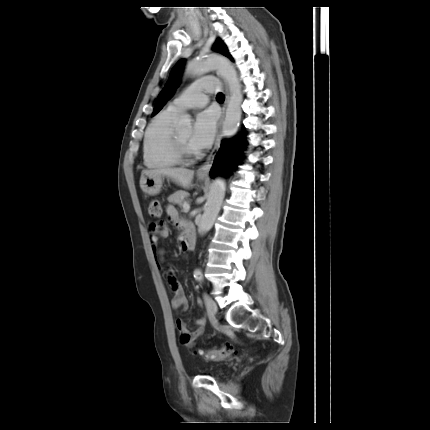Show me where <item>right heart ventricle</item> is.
Listing matches in <instances>:
<instances>
[{
    "instance_id": "e07e8e85",
    "label": "right heart ventricle",
    "mask_w": 430,
    "mask_h": 430,
    "mask_svg": "<svg viewBox=\"0 0 430 430\" xmlns=\"http://www.w3.org/2000/svg\"><path fill=\"white\" fill-rule=\"evenodd\" d=\"M178 115L166 109L158 113L146 128L143 140V162L146 167L162 169L180 163L172 148V135Z\"/></svg>"
}]
</instances>
